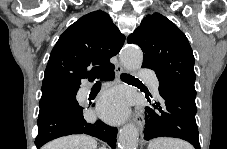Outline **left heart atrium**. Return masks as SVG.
Returning a JSON list of instances; mask_svg holds the SVG:
<instances>
[{
    "label": "left heart atrium",
    "mask_w": 227,
    "mask_h": 149,
    "mask_svg": "<svg viewBox=\"0 0 227 149\" xmlns=\"http://www.w3.org/2000/svg\"><path fill=\"white\" fill-rule=\"evenodd\" d=\"M128 111L127 95L120 90L105 93L99 103V113L109 121L123 119Z\"/></svg>",
    "instance_id": "left-heart-atrium-1"
}]
</instances>
